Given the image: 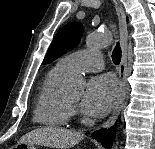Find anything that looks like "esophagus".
Masks as SVG:
<instances>
[{
    "label": "esophagus",
    "instance_id": "obj_1",
    "mask_svg": "<svg viewBox=\"0 0 155 149\" xmlns=\"http://www.w3.org/2000/svg\"><path fill=\"white\" fill-rule=\"evenodd\" d=\"M113 2L116 8L118 22H119L122 58H121L120 65L118 67L119 94H118L117 102L111 116L104 122L103 124L104 128H110L114 124V122L116 121L117 117L121 112V109L123 107L124 100L126 97L127 49H128L127 22H126V15L121 3L118 0H114Z\"/></svg>",
    "mask_w": 155,
    "mask_h": 149
}]
</instances>
